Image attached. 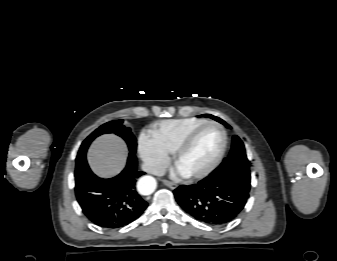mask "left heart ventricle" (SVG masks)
Masks as SVG:
<instances>
[{"mask_svg": "<svg viewBox=\"0 0 337 261\" xmlns=\"http://www.w3.org/2000/svg\"><path fill=\"white\" fill-rule=\"evenodd\" d=\"M222 145V134L214 126L203 129L190 148L181 157L178 170L183 174H192L204 169L218 154Z\"/></svg>", "mask_w": 337, "mask_h": 261, "instance_id": "b2bd125f", "label": "left heart ventricle"}]
</instances>
